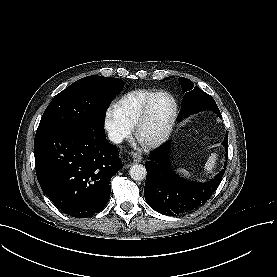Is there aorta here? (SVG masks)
I'll return each instance as SVG.
<instances>
[{
  "label": "aorta",
  "instance_id": "762f6f07",
  "mask_svg": "<svg viewBox=\"0 0 277 277\" xmlns=\"http://www.w3.org/2000/svg\"><path fill=\"white\" fill-rule=\"evenodd\" d=\"M129 175L134 181H142L146 178L147 171L142 164H134L130 167Z\"/></svg>",
  "mask_w": 277,
  "mask_h": 277
}]
</instances>
